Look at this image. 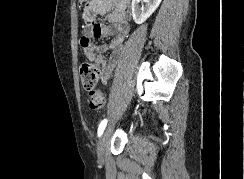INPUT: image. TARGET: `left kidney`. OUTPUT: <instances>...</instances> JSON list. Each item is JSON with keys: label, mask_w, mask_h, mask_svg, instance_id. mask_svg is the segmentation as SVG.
I'll return each mask as SVG.
<instances>
[{"label": "left kidney", "mask_w": 244, "mask_h": 179, "mask_svg": "<svg viewBox=\"0 0 244 179\" xmlns=\"http://www.w3.org/2000/svg\"><path fill=\"white\" fill-rule=\"evenodd\" d=\"M142 2H145L143 6ZM162 0H132V16L136 24H143L157 10Z\"/></svg>", "instance_id": "5707ae66"}]
</instances>
